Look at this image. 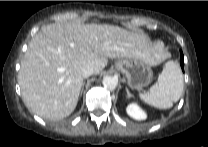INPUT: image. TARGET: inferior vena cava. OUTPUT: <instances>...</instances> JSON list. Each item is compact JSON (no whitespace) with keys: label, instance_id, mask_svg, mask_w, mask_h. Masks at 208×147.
I'll return each mask as SVG.
<instances>
[{"label":"inferior vena cava","instance_id":"obj_1","mask_svg":"<svg viewBox=\"0 0 208 147\" xmlns=\"http://www.w3.org/2000/svg\"><path fill=\"white\" fill-rule=\"evenodd\" d=\"M81 74L83 78H87L94 74V68L92 66H85L82 68Z\"/></svg>","mask_w":208,"mask_h":147}]
</instances>
